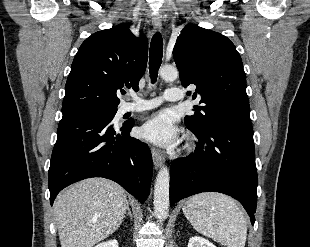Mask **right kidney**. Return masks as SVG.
<instances>
[{
    "mask_svg": "<svg viewBox=\"0 0 310 247\" xmlns=\"http://www.w3.org/2000/svg\"><path fill=\"white\" fill-rule=\"evenodd\" d=\"M95 247H119L117 240H109L106 242H102Z\"/></svg>",
    "mask_w": 310,
    "mask_h": 247,
    "instance_id": "1",
    "label": "right kidney"
}]
</instances>
